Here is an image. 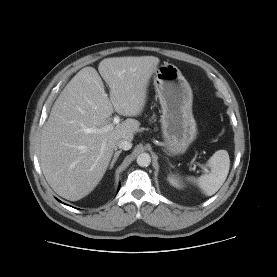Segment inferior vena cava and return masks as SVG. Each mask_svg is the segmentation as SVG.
<instances>
[{
	"instance_id": "inferior-vena-cava-1",
	"label": "inferior vena cava",
	"mask_w": 277,
	"mask_h": 277,
	"mask_svg": "<svg viewBox=\"0 0 277 277\" xmlns=\"http://www.w3.org/2000/svg\"><path fill=\"white\" fill-rule=\"evenodd\" d=\"M116 147L123 149V150H129L132 147V143L127 140H120L116 143Z\"/></svg>"
}]
</instances>
